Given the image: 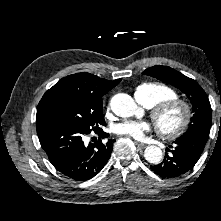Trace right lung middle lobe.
Returning a JSON list of instances; mask_svg holds the SVG:
<instances>
[{
  "instance_id": "1",
  "label": "right lung middle lobe",
  "mask_w": 221,
  "mask_h": 221,
  "mask_svg": "<svg viewBox=\"0 0 221 221\" xmlns=\"http://www.w3.org/2000/svg\"><path fill=\"white\" fill-rule=\"evenodd\" d=\"M38 115L50 116L88 133L105 125L102 99L80 94H61L39 103Z\"/></svg>"
}]
</instances>
